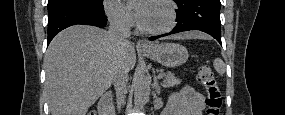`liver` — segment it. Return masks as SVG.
<instances>
[{"label":"liver","instance_id":"1","mask_svg":"<svg viewBox=\"0 0 285 115\" xmlns=\"http://www.w3.org/2000/svg\"><path fill=\"white\" fill-rule=\"evenodd\" d=\"M196 31L184 32L176 39L203 38ZM127 71L134 68L136 52L128 41L114 44L108 32L94 26L75 25L61 31L49 44L44 58L48 96L52 115H86L89 107L111 86L118 61Z\"/></svg>","mask_w":285,"mask_h":115}]
</instances>
